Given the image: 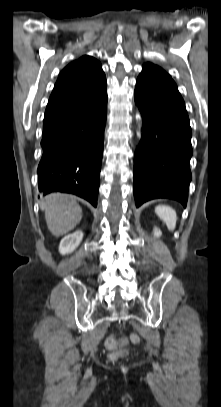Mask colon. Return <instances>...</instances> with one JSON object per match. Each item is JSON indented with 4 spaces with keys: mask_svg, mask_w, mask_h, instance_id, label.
Instances as JSON below:
<instances>
[{
    "mask_svg": "<svg viewBox=\"0 0 221 407\" xmlns=\"http://www.w3.org/2000/svg\"><path fill=\"white\" fill-rule=\"evenodd\" d=\"M125 341L126 340H124V342ZM130 341L132 343H138L139 342V337L137 335H135V334H132L130 336ZM118 345H119V341H118V339H116L114 337H109L105 341L106 348L111 351L110 358L112 360H116V359H119V358H122V357H125V356L128 355V350H126V349L118 350L117 349Z\"/></svg>",
    "mask_w": 221,
    "mask_h": 407,
    "instance_id": "obj_1",
    "label": "colon"
}]
</instances>
